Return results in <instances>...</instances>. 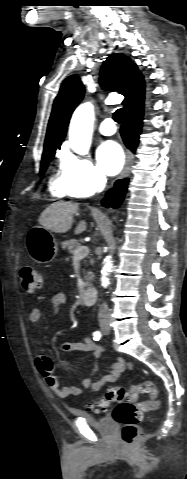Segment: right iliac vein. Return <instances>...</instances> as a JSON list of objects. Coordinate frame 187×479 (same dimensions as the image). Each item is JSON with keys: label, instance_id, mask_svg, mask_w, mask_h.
<instances>
[{"label": "right iliac vein", "instance_id": "right-iliac-vein-1", "mask_svg": "<svg viewBox=\"0 0 187 479\" xmlns=\"http://www.w3.org/2000/svg\"><path fill=\"white\" fill-rule=\"evenodd\" d=\"M101 326H102L103 329H106L108 324L107 323H102Z\"/></svg>", "mask_w": 187, "mask_h": 479}]
</instances>
